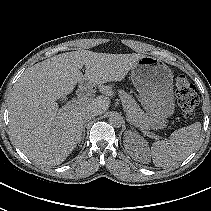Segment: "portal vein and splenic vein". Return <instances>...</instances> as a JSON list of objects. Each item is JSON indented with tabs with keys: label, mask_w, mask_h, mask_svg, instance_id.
Here are the masks:
<instances>
[{
	"label": "portal vein and splenic vein",
	"mask_w": 211,
	"mask_h": 211,
	"mask_svg": "<svg viewBox=\"0 0 211 211\" xmlns=\"http://www.w3.org/2000/svg\"><path fill=\"white\" fill-rule=\"evenodd\" d=\"M86 101H87V97L84 96V97H81V98H78V99H76V100H73V101H71V102L66 103V104L62 107V109L66 110V109H68V108H74V107H76V106H78V105L84 104ZM127 120L130 122V119H129V118H128ZM130 123H131V122H130ZM155 138L157 139V136H155Z\"/></svg>",
	"instance_id": "18ae733b"
}]
</instances>
